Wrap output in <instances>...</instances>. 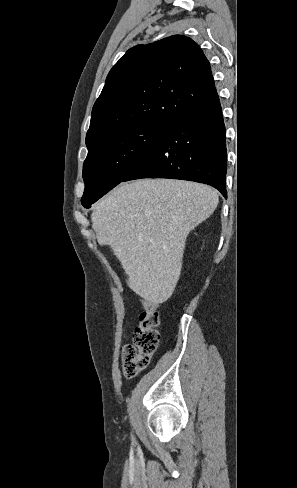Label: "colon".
Segmentation results:
<instances>
[{"instance_id":"colon-1","label":"colon","mask_w":297,"mask_h":488,"mask_svg":"<svg viewBox=\"0 0 297 488\" xmlns=\"http://www.w3.org/2000/svg\"><path fill=\"white\" fill-rule=\"evenodd\" d=\"M158 324V305L145 301L134 332L135 345H125L122 350V370L126 377L135 376L149 365L160 341Z\"/></svg>"}]
</instances>
